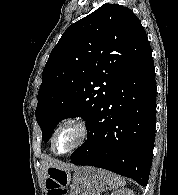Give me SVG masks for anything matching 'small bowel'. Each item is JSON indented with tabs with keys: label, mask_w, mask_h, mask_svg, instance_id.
<instances>
[{
	"label": "small bowel",
	"mask_w": 178,
	"mask_h": 195,
	"mask_svg": "<svg viewBox=\"0 0 178 195\" xmlns=\"http://www.w3.org/2000/svg\"><path fill=\"white\" fill-rule=\"evenodd\" d=\"M48 192H49V195H63L61 194V191L58 190L57 188H52V187H48Z\"/></svg>",
	"instance_id": "1"
}]
</instances>
